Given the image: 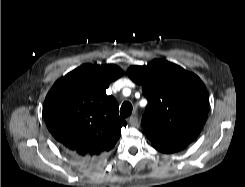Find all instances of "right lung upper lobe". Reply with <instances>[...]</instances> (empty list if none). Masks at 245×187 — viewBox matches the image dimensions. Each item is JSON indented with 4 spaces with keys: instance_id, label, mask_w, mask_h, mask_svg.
<instances>
[{
    "instance_id": "cb5924a9",
    "label": "right lung upper lobe",
    "mask_w": 245,
    "mask_h": 187,
    "mask_svg": "<svg viewBox=\"0 0 245 187\" xmlns=\"http://www.w3.org/2000/svg\"><path fill=\"white\" fill-rule=\"evenodd\" d=\"M123 74L116 65L84 64L55 82L43 109L48 130L67 150L88 159L105 155L116 144L125 120L105 90Z\"/></svg>"
}]
</instances>
